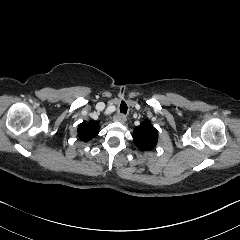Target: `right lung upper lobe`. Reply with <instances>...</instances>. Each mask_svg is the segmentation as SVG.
Returning <instances> with one entry per match:
<instances>
[{
    "label": "right lung upper lobe",
    "instance_id": "obj_1",
    "mask_svg": "<svg viewBox=\"0 0 240 240\" xmlns=\"http://www.w3.org/2000/svg\"><path fill=\"white\" fill-rule=\"evenodd\" d=\"M99 133V122L84 121L78 126V136L82 141H88Z\"/></svg>",
    "mask_w": 240,
    "mask_h": 240
}]
</instances>
